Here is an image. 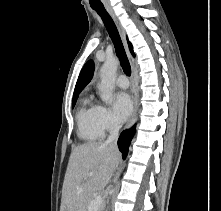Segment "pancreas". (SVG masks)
<instances>
[{
	"label": "pancreas",
	"mask_w": 221,
	"mask_h": 211,
	"mask_svg": "<svg viewBox=\"0 0 221 211\" xmlns=\"http://www.w3.org/2000/svg\"><path fill=\"white\" fill-rule=\"evenodd\" d=\"M92 199H93V197L91 196V197H89V198L86 200V202H85V210H84V211H88V207H89V204H90V202H91ZM97 211H103V208L101 207V208H99Z\"/></svg>",
	"instance_id": "1"
}]
</instances>
